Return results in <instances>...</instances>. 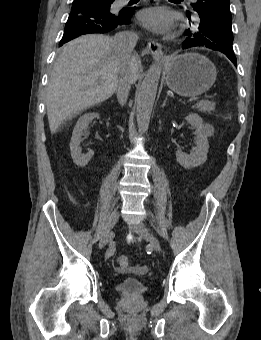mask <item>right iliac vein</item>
I'll list each match as a JSON object with an SVG mask.
<instances>
[{"label": "right iliac vein", "mask_w": 261, "mask_h": 340, "mask_svg": "<svg viewBox=\"0 0 261 340\" xmlns=\"http://www.w3.org/2000/svg\"><path fill=\"white\" fill-rule=\"evenodd\" d=\"M119 219V213L117 210H113L106 222L104 233L98 243V250H101L105 247V245L112 239L113 235L111 233L112 229L116 225Z\"/></svg>", "instance_id": "obj_1"}]
</instances>
